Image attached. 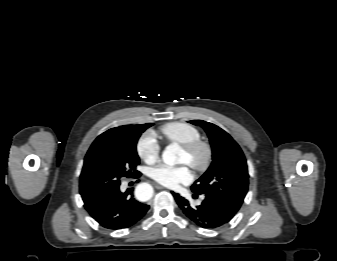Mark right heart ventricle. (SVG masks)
<instances>
[{
  "label": "right heart ventricle",
  "instance_id": "obj_1",
  "mask_svg": "<svg viewBox=\"0 0 337 261\" xmlns=\"http://www.w3.org/2000/svg\"><path fill=\"white\" fill-rule=\"evenodd\" d=\"M159 132L167 142L181 145L201 137L198 128L181 121L166 123L160 127Z\"/></svg>",
  "mask_w": 337,
  "mask_h": 261
}]
</instances>
